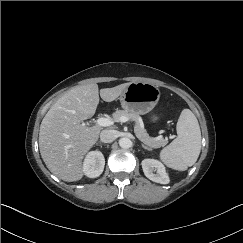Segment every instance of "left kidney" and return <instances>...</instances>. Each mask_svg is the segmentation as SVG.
<instances>
[{"label":"left kidney","mask_w":243,"mask_h":243,"mask_svg":"<svg viewBox=\"0 0 243 243\" xmlns=\"http://www.w3.org/2000/svg\"><path fill=\"white\" fill-rule=\"evenodd\" d=\"M143 172L147 178L151 181L160 183V184H168L169 177L166 173L164 165L155 159H144L141 162Z\"/></svg>","instance_id":"5707ae66"}]
</instances>
